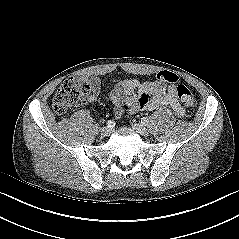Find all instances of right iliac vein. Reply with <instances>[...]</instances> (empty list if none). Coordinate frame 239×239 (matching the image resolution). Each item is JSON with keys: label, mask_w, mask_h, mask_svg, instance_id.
Masks as SVG:
<instances>
[{"label": "right iliac vein", "mask_w": 239, "mask_h": 239, "mask_svg": "<svg viewBox=\"0 0 239 239\" xmlns=\"http://www.w3.org/2000/svg\"><path fill=\"white\" fill-rule=\"evenodd\" d=\"M110 133H111V128H109V127H103V128L101 129V134H102L103 136H109Z\"/></svg>", "instance_id": "right-iliac-vein-1"}]
</instances>
